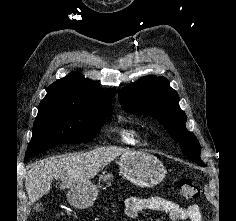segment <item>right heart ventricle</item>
<instances>
[{"instance_id": "obj_1", "label": "right heart ventricle", "mask_w": 236, "mask_h": 221, "mask_svg": "<svg viewBox=\"0 0 236 221\" xmlns=\"http://www.w3.org/2000/svg\"><path fill=\"white\" fill-rule=\"evenodd\" d=\"M119 140L126 145H140L143 140V132L139 127H124L119 131Z\"/></svg>"}]
</instances>
